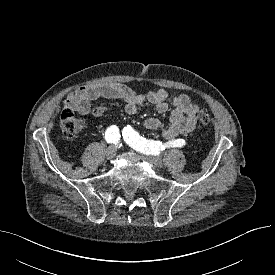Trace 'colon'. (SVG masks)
<instances>
[{"label": "colon", "mask_w": 275, "mask_h": 275, "mask_svg": "<svg viewBox=\"0 0 275 275\" xmlns=\"http://www.w3.org/2000/svg\"><path fill=\"white\" fill-rule=\"evenodd\" d=\"M196 119L203 126H208L212 122L211 114L207 110H199ZM84 121L77 118L72 111L65 110L61 116V129L66 138H73L84 128Z\"/></svg>", "instance_id": "obj_1"}]
</instances>
